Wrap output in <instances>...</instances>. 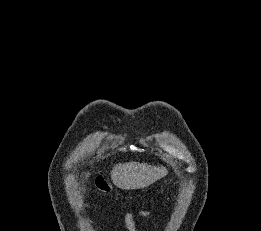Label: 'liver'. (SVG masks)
<instances>
[{
    "instance_id": "obj_1",
    "label": "liver",
    "mask_w": 261,
    "mask_h": 231,
    "mask_svg": "<svg viewBox=\"0 0 261 231\" xmlns=\"http://www.w3.org/2000/svg\"><path fill=\"white\" fill-rule=\"evenodd\" d=\"M167 173L168 170L163 166H151L132 161L115 165L111 171V179L118 188L140 189L153 184Z\"/></svg>"
}]
</instances>
